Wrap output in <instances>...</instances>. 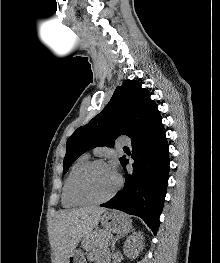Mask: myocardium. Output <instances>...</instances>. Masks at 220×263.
<instances>
[{
    "label": "myocardium",
    "mask_w": 220,
    "mask_h": 263,
    "mask_svg": "<svg viewBox=\"0 0 220 263\" xmlns=\"http://www.w3.org/2000/svg\"><path fill=\"white\" fill-rule=\"evenodd\" d=\"M96 165H108L105 161L103 160H91L86 162L84 165H82L72 176L71 181H70V185H69V194H70V198L78 204H101L104 202H107L108 200H110L111 198H113L117 192L120 190L121 186H122V177L119 174L117 175V184L115 186V188L106 196L99 198V199H89V198H84L81 197L77 191H76V185H77V181L78 179L81 177L82 174H84L87 170H89L91 167L96 166Z\"/></svg>",
    "instance_id": "1"
}]
</instances>
